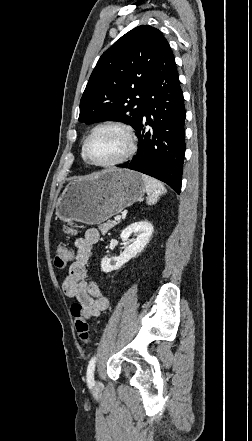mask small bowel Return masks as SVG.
<instances>
[{
  "instance_id": "obj_1",
  "label": "small bowel",
  "mask_w": 252,
  "mask_h": 441,
  "mask_svg": "<svg viewBox=\"0 0 252 441\" xmlns=\"http://www.w3.org/2000/svg\"><path fill=\"white\" fill-rule=\"evenodd\" d=\"M96 229H88L75 241L77 251L67 276L62 283V290L69 298H76L84 310L86 318L99 317L109 306V300L94 281L87 279V264L93 246L99 241Z\"/></svg>"
}]
</instances>
